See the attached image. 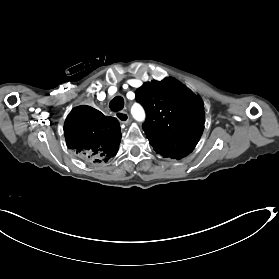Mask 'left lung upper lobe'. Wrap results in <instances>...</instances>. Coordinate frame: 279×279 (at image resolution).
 I'll list each match as a JSON object with an SVG mask.
<instances>
[{"label":"left lung upper lobe","instance_id":"obj_1","mask_svg":"<svg viewBox=\"0 0 279 279\" xmlns=\"http://www.w3.org/2000/svg\"><path fill=\"white\" fill-rule=\"evenodd\" d=\"M146 111L143 130L151 146L164 157L181 159L195 148L204 129L203 105L172 78L151 81L136 90Z\"/></svg>","mask_w":279,"mask_h":279}]
</instances>
